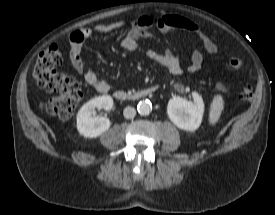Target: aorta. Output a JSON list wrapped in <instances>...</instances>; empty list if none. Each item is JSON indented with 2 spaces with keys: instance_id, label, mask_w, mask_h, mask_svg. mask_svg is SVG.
<instances>
[{
  "instance_id": "aorta-1",
  "label": "aorta",
  "mask_w": 275,
  "mask_h": 215,
  "mask_svg": "<svg viewBox=\"0 0 275 215\" xmlns=\"http://www.w3.org/2000/svg\"><path fill=\"white\" fill-rule=\"evenodd\" d=\"M137 110L142 115H148L152 110V104L148 100L140 101L137 105Z\"/></svg>"
}]
</instances>
